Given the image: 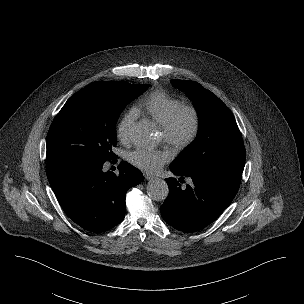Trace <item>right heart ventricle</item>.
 <instances>
[{
	"instance_id": "1",
	"label": "right heart ventricle",
	"mask_w": 304,
	"mask_h": 304,
	"mask_svg": "<svg viewBox=\"0 0 304 304\" xmlns=\"http://www.w3.org/2000/svg\"><path fill=\"white\" fill-rule=\"evenodd\" d=\"M182 102L163 91H154L147 95L136 107V111L145 113L159 126L163 127Z\"/></svg>"
}]
</instances>
